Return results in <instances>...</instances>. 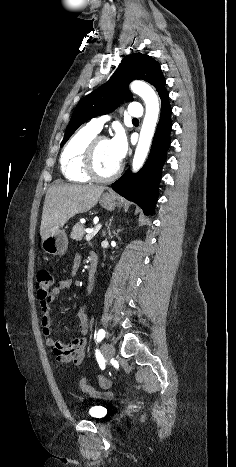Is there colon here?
<instances>
[{
    "label": "colon",
    "instance_id": "5ec220e1",
    "mask_svg": "<svg viewBox=\"0 0 236 467\" xmlns=\"http://www.w3.org/2000/svg\"><path fill=\"white\" fill-rule=\"evenodd\" d=\"M37 284H38V291H37L38 298L41 301L49 298V296L51 295L53 291V284H54V278L51 272L46 269L40 270L37 274ZM79 384H80V388L82 389V391L90 395H93V396L102 395L101 393L97 392L92 386H90L84 377L80 378ZM101 385L103 387H107L109 383L108 381L102 379ZM103 395L107 398H113L115 396L111 392L105 393Z\"/></svg>",
    "mask_w": 236,
    "mask_h": 467
}]
</instances>
